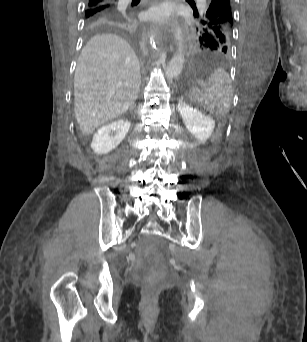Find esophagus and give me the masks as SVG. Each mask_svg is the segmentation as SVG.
<instances>
[{"label": "esophagus", "instance_id": "1", "mask_svg": "<svg viewBox=\"0 0 307 342\" xmlns=\"http://www.w3.org/2000/svg\"><path fill=\"white\" fill-rule=\"evenodd\" d=\"M153 26L156 28V32L154 34V39L156 41V45L163 47L164 46L163 33L157 24L154 23Z\"/></svg>", "mask_w": 307, "mask_h": 342}]
</instances>
